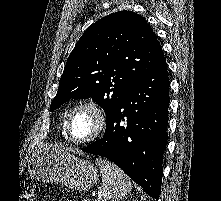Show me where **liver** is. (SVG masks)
Listing matches in <instances>:
<instances>
[{
    "instance_id": "liver-1",
    "label": "liver",
    "mask_w": 221,
    "mask_h": 201,
    "mask_svg": "<svg viewBox=\"0 0 221 201\" xmlns=\"http://www.w3.org/2000/svg\"><path fill=\"white\" fill-rule=\"evenodd\" d=\"M52 149H54L56 151H63V149H60V148H52Z\"/></svg>"
}]
</instances>
